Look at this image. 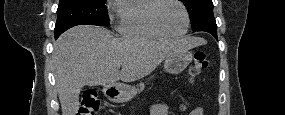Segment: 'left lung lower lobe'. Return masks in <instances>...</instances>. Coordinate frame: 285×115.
<instances>
[{
    "instance_id": "obj_1",
    "label": "left lung lower lobe",
    "mask_w": 285,
    "mask_h": 115,
    "mask_svg": "<svg viewBox=\"0 0 285 115\" xmlns=\"http://www.w3.org/2000/svg\"><path fill=\"white\" fill-rule=\"evenodd\" d=\"M199 31H205L212 34L217 39V25L216 22L203 25Z\"/></svg>"
}]
</instances>
